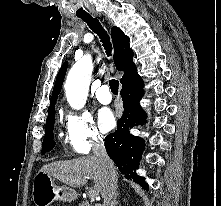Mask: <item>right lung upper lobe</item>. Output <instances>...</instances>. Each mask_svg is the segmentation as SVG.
I'll list each match as a JSON object with an SVG mask.
<instances>
[{
	"mask_svg": "<svg viewBox=\"0 0 221 206\" xmlns=\"http://www.w3.org/2000/svg\"><path fill=\"white\" fill-rule=\"evenodd\" d=\"M111 36L114 45V63L119 71H124V75L120 80L123 83L133 74L137 73L135 64L133 63V51L129 46V37L126 36L118 27H112ZM68 63L65 62L59 70L57 75L54 89L52 92V97L50 100V106L48 109V114L55 109V103L58 94L61 91L64 77L66 74Z\"/></svg>",
	"mask_w": 221,
	"mask_h": 206,
	"instance_id": "1",
	"label": "right lung upper lobe"
}]
</instances>
